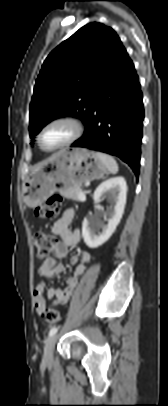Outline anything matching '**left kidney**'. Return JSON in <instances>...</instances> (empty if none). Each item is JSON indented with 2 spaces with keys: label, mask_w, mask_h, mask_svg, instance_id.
Wrapping results in <instances>:
<instances>
[{
  "label": "left kidney",
  "mask_w": 168,
  "mask_h": 406,
  "mask_svg": "<svg viewBox=\"0 0 168 406\" xmlns=\"http://www.w3.org/2000/svg\"><path fill=\"white\" fill-rule=\"evenodd\" d=\"M127 185L123 177L110 178L101 183L95 190L93 199L98 201L102 196H110L111 202L114 204L110 207L107 215L109 216L108 224L104 225L98 220L85 218L82 223V236L85 244L89 248H97L104 244L114 233L118 226L124 207L126 204ZM101 227L102 233L96 235V229Z\"/></svg>",
  "instance_id": "obj_1"
}]
</instances>
